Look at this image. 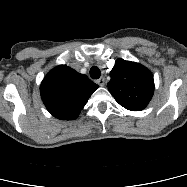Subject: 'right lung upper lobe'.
I'll list each match as a JSON object with an SVG mask.
<instances>
[{
	"mask_svg": "<svg viewBox=\"0 0 187 187\" xmlns=\"http://www.w3.org/2000/svg\"><path fill=\"white\" fill-rule=\"evenodd\" d=\"M97 88L98 85L86 75L60 65L45 76L40 92L44 105L53 116L74 120Z\"/></svg>",
	"mask_w": 187,
	"mask_h": 187,
	"instance_id": "obj_1",
	"label": "right lung upper lobe"
}]
</instances>
